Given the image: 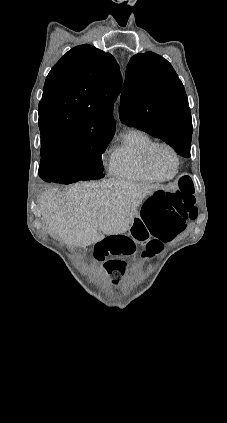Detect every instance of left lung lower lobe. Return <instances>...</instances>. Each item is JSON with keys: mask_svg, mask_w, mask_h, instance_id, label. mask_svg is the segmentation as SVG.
<instances>
[{"mask_svg": "<svg viewBox=\"0 0 227 423\" xmlns=\"http://www.w3.org/2000/svg\"><path fill=\"white\" fill-rule=\"evenodd\" d=\"M190 144L189 142L179 141L171 146L179 155L189 158L190 157Z\"/></svg>", "mask_w": 227, "mask_h": 423, "instance_id": "obj_1", "label": "left lung lower lobe"}]
</instances>
